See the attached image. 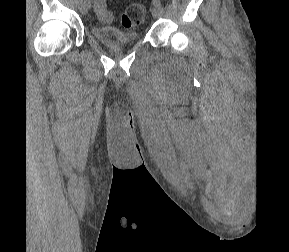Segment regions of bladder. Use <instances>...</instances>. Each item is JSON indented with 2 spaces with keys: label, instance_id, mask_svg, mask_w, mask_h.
Returning a JSON list of instances; mask_svg holds the SVG:
<instances>
[{
  "label": "bladder",
  "instance_id": "1",
  "mask_svg": "<svg viewBox=\"0 0 289 252\" xmlns=\"http://www.w3.org/2000/svg\"><path fill=\"white\" fill-rule=\"evenodd\" d=\"M94 37L109 47L131 45L138 41L139 33L136 31H123L113 26H93Z\"/></svg>",
  "mask_w": 289,
  "mask_h": 252
}]
</instances>
